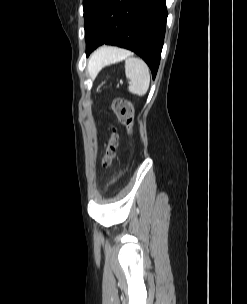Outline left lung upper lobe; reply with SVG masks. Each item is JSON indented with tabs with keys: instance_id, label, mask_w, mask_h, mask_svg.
Instances as JSON below:
<instances>
[{
	"instance_id": "obj_1",
	"label": "left lung upper lobe",
	"mask_w": 247,
	"mask_h": 304,
	"mask_svg": "<svg viewBox=\"0 0 247 304\" xmlns=\"http://www.w3.org/2000/svg\"><path fill=\"white\" fill-rule=\"evenodd\" d=\"M102 2L103 0H83L84 27L95 18Z\"/></svg>"
}]
</instances>
